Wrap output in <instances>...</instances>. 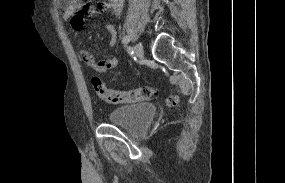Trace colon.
Returning a JSON list of instances; mask_svg holds the SVG:
<instances>
[{
	"instance_id": "colon-1",
	"label": "colon",
	"mask_w": 285,
	"mask_h": 183,
	"mask_svg": "<svg viewBox=\"0 0 285 183\" xmlns=\"http://www.w3.org/2000/svg\"><path fill=\"white\" fill-rule=\"evenodd\" d=\"M93 89L98 97L103 101L110 104H121V103H136L151 99L155 90L151 87L144 86L128 91H119L108 88L106 84L99 78L93 77L91 79ZM168 104L170 106H176L178 104V98L172 95L168 98Z\"/></svg>"
}]
</instances>
